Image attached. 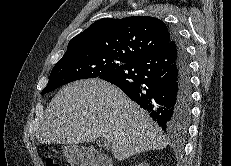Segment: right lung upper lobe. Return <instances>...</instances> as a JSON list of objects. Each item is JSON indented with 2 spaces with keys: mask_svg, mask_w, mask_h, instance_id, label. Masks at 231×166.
Segmentation results:
<instances>
[{
  "mask_svg": "<svg viewBox=\"0 0 231 166\" xmlns=\"http://www.w3.org/2000/svg\"><path fill=\"white\" fill-rule=\"evenodd\" d=\"M171 39L172 31L154 17L105 18L75 36L65 54L90 50L133 61L160 51Z\"/></svg>",
  "mask_w": 231,
  "mask_h": 166,
  "instance_id": "right-lung-upper-lobe-1",
  "label": "right lung upper lobe"
}]
</instances>
